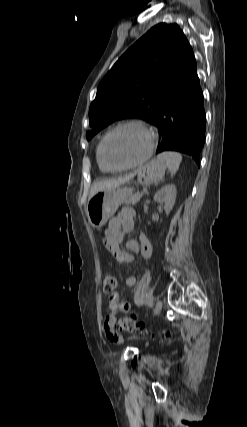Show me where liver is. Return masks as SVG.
I'll return each instance as SVG.
<instances>
[{
  "label": "liver",
  "mask_w": 247,
  "mask_h": 427,
  "mask_svg": "<svg viewBox=\"0 0 247 427\" xmlns=\"http://www.w3.org/2000/svg\"><path fill=\"white\" fill-rule=\"evenodd\" d=\"M135 174L136 173H131L124 177H119L117 179L104 180V181L93 184L90 190L89 199L101 190H109V189L119 187L120 185L132 179L135 176Z\"/></svg>",
  "instance_id": "1"
}]
</instances>
